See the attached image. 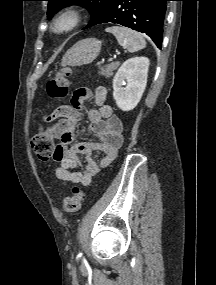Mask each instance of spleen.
<instances>
[{"instance_id":"3e777b00","label":"spleen","mask_w":216,"mask_h":285,"mask_svg":"<svg viewBox=\"0 0 216 285\" xmlns=\"http://www.w3.org/2000/svg\"><path fill=\"white\" fill-rule=\"evenodd\" d=\"M106 32L112 33L117 39L119 45L134 53L146 47V41L136 31L125 27H108Z\"/></svg>"}]
</instances>
